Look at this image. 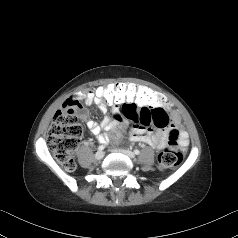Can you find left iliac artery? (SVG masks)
I'll return each instance as SVG.
<instances>
[{"label":"left iliac artery","instance_id":"1","mask_svg":"<svg viewBox=\"0 0 238 238\" xmlns=\"http://www.w3.org/2000/svg\"><path fill=\"white\" fill-rule=\"evenodd\" d=\"M134 153H135L136 155H139V154H140V151L137 150V149H135V150H134Z\"/></svg>","mask_w":238,"mask_h":238}]
</instances>
